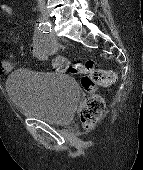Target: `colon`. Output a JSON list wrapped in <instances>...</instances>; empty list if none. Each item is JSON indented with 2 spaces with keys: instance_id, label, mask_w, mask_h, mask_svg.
I'll return each instance as SVG.
<instances>
[{
  "instance_id": "colon-1",
  "label": "colon",
  "mask_w": 143,
  "mask_h": 170,
  "mask_svg": "<svg viewBox=\"0 0 143 170\" xmlns=\"http://www.w3.org/2000/svg\"><path fill=\"white\" fill-rule=\"evenodd\" d=\"M57 69H68L72 74L81 76L82 86L88 95L81 106L80 120L86 127L95 124L101 118L105 106L103 98L95 90L97 87L115 83L116 74L113 71L97 68L96 61L93 59L67 67L65 61L58 58Z\"/></svg>"
}]
</instances>
